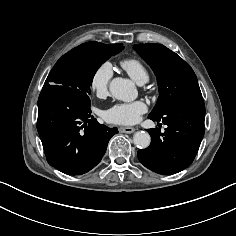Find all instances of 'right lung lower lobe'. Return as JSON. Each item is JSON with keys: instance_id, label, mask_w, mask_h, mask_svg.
<instances>
[{"instance_id": "right-lung-lower-lobe-1", "label": "right lung lower lobe", "mask_w": 236, "mask_h": 236, "mask_svg": "<svg viewBox=\"0 0 236 236\" xmlns=\"http://www.w3.org/2000/svg\"><path fill=\"white\" fill-rule=\"evenodd\" d=\"M90 106L64 86L52 85L40 93L37 130L48 163L65 174L94 168L118 133L117 128L99 124Z\"/></svg>"}]
</instances>
